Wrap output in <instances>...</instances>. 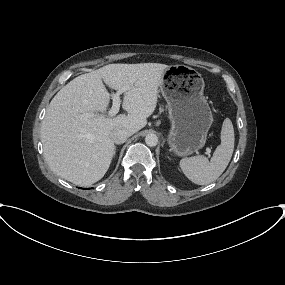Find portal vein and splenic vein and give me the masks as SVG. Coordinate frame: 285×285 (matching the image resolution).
<instances>
[{
    "label": "portal vein and splenic vein",
    "mask_w": 285,
    "mask_h": 285,
    "mask_svg": "<svg viewBox=\"0 0 285 285\" xmlns=\"http://www.w3.org/2000/svg\"><path fill=\"white\" fill-rule=\"evenodd\" d=\"M123 93V91L119 90L117 91L115 94L112 95V99H113V105L111 107V109L108 112V115L110 117L115 116L120 108V103H121V99H120V95ZM96 113H86L83 115L84 118H90L95 116ZM211 150L208 148L207 149V154L210 156Z\"/></svg>",
    "instance_id": "1"
}]
</instances>
